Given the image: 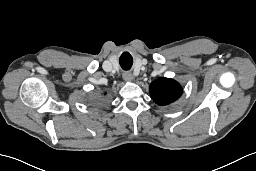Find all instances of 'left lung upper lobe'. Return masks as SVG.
<instances>
[{"label": "left lung upper lobe", "mask_w": 256, "mask_h": 171, "mask_svg": "<svg viewBox=\"0 0 256 171\" xmlns=\"http://www.w3.org/2000/svg\"><path fill=\"white\" fill-rule=\"evenodd\" d=\"M150 96L158 105H168L176 101L183 93L180 84L169 78H158L149 86Z\"/></svg>", "instance_id": "left-lung-upper-lobe-1"}]
</instances>
